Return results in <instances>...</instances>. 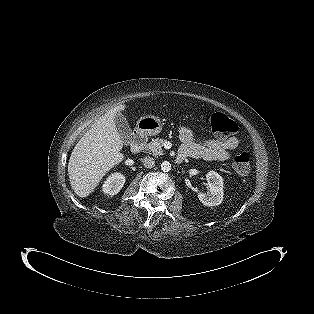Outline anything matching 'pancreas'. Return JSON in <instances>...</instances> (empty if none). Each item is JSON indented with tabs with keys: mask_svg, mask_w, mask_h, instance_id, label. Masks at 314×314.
<instances>
[{
	"mask_svg": "<svg viewBox=\"0 0 314 314\" xmlns=\"http://www.w3.org/2000/svg\"><path fill=\"white\" fill-rule=\"evenodd\" d=\"M164 142V139H153L145 146V152L153 154L154 156L163 155L162 147Z\"/></svg>",
	"mask_w": 314,
	"mask_h": 314,
	"instance_id": "cf45deb5",
	"label": "pancreas"
}]
</instances>
